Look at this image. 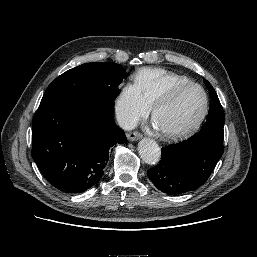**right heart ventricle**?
I'll list each match as a JSON object with an SVG mask.
<instances>
[{
	"instance_id": "right-heart-ventricle-1",
	"label": "right heart ventricle",
	"mask_w": 257,
	"mask_h": 257,
	"mask_svg": "<svg viewBox=\"0 0 257 257\" xmlns=\"http://www.w3.org/2000/svg\"><path fill=\"white\" fill-rule=\"evenodd\" d=\"M135 84L151 107L174 86L191 82L189 78L163 68H142L134 75Z\"/></svg>"
}]
</instances>
